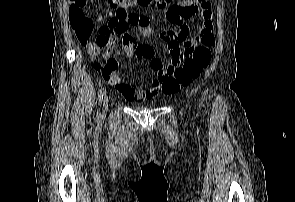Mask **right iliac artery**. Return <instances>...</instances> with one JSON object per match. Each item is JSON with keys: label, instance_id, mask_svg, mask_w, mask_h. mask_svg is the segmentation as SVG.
Instances as JSON below:
<instances>
[{"label": "right iliac artery", "instance_id": "obj_1", "mask_svg": "<svg viewBox=\"0 0 295 202\" xmlns=\"http://www.w3.org/2000/svg\"><path fill=\"white\" fill-rule=\"evenodd\" d=\"M106 94V90L104 88H101L98 92V100H99V103L100 101H102L103 99V96ZM97 116L100 117V113L98 114L97 113Z\"/></svg>", "mask_w": 295, "mask_h": 202}]
</instances>
